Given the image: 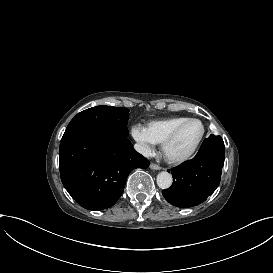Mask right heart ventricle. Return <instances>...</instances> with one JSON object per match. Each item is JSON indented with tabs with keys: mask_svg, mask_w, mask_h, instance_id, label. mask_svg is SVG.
Returning a JSON list of instances; mask_svg holds the SVG:
<instances>
[{
	"mask_svg": "<svg viewBox=\"0 0 273 273\" xmlns=\"http://www.w3.org/2000/svg\"><path fill=\"white\" fill-rule=\"evenodd\" d=\"M188 118L189 117L187 116H178L167 119L154 120L147 124L145 130L153 143L160 144L175 126Z\"/></svg>",
	"mask_w": 273,
	"mask_h": 273,
	"instance_id": "1",
	"label": "right heart ventricle"
}]
</instances>
